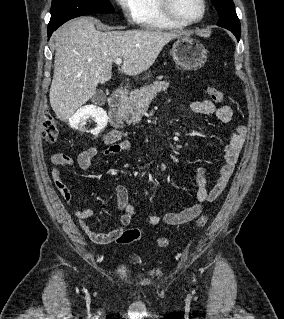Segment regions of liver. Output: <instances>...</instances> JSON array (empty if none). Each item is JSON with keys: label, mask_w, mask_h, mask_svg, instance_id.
<instances>
[{"label": "liver", "mask_w": 284, "mask_h": 319, "mask_svg": "<svg viewBox=\"0 0 284 319\" xmlns=\"http://www.w3.org/2000/svg\"><path fill=\"white\" fill-rule=\"evenodd\" d=\"M161 30L106 31L96 29L90 17L69 21L58 28L50 104L58 119L68 120L92 98L99 83L112 76V64L123 59L120 71L136 76L149 69L163 47L178 38Z\"/></svg>", "instance_id": "obj_1"}]
</instances>
